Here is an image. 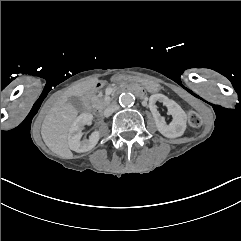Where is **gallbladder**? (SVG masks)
Returning <instances> with one entry per match:
<instances>
[{
	"label": "gallbladder",
	"instance_id": "obj_1",
	"mask_svg": "<svg viewBox=\"0 0 241 241\" xmlns=\"http://www.w3.org/2000/svg\"><path fill=\"white\" fill-rule=\"evenodd\" d=\"M68 101L71 102L74 106L83 108V101L78 97H70Z\"/></svg>",
	"mask_w": 241,
	"mask_h": 241
}]
</instances>
